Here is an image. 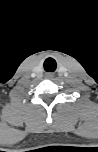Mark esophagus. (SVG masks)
<instances>
[{"mask_svg": "<svg viewBox=\"0 0 98 152\" xmlns=\"http://www.w3.org/2000/svg\"><path fill=\"white\" fill-rule=\"evenodd\" d=\"M50 76V74H46V77H49Z\"/></svg>", "mask_w": 98, "mask_h": 152, "instance_id": "1", "label": "esophagus"}]
</instances>
